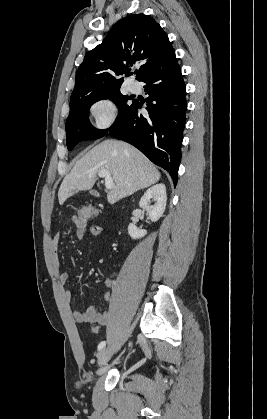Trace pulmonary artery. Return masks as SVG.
<instances>
[{
	"label": "pulmonary artery",
	"instance_id": "1",
	"mask_svg": "<svg viewBox=\"0 0 267 419\" xmlns=\"http://www.w3.org/2000/svg\"><path fill=\"white\" fill-rule=\"evenodd\" d=\"M129 90L131 91V92H137L138 91V86H137V84H135V83H131L130 85H129Z\"/></svg>",
	"mask_w": 267,
	"mask_h": 419
}]
</instances>
